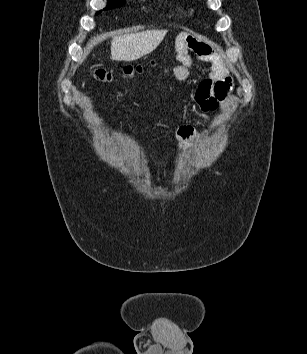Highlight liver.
<instances>
[{"instance_id":"obj_1","label":"liver","mask_w":307,"mask_h":354,"mask_svg":"<svg viewBox=\"0 0 307 354\" xmlns=\"http://www.w3.org/2000/svg\"><path fill=\"white\" fill-rule=\"evenodd\" d=\"M167 30H150L116 36L111 41V59L135 61L153 52L164 39Z\"/></svg>"}]
</instances>
